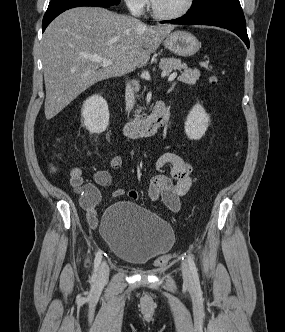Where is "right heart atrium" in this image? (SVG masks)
Wrapping results in <instances>:
<instances>
[{
    "instance_id": "obj_1",
    "label": "right heart atrium",
    "mask_w": 285,
    "mask_h": 332,
    "mask_svg": "<svg viewBox=\"0 0 285 332\" xmlns=\"http://www.w3.org/2000/svg\"><path fill=\"white\" fill-rule=\"evenodd\" d=\"M127 8L135 15L142 14L148 6V0H124Z\"/></svg>"
}]
</instances>
